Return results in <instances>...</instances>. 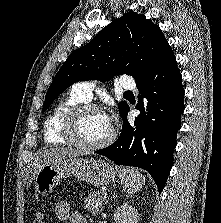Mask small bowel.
Wrapping results in <instances>:
<instances>
[{"mask_svg":"<svg viewBox=\"0 0 221 223\" xmlns=\"http://www.w3.org/2000/svg\"><path fill=\"white\" fill-rule=\"evenodd\" d=\"M56 216L62 223H88L81 213L71 212L70 205L67 202L57 204Z\"/></svg>","mask_w":221,"mask_h":223,"instance_id":"small-bowel-1","label":"small bowel"}]
</instances>
